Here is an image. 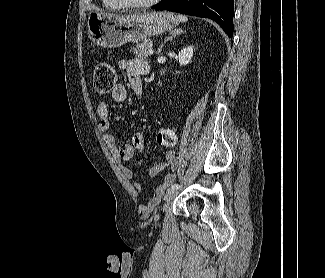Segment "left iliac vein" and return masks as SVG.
<instances>
[{"label": "left iliac vein", "instance_id": "obj_1", "mask_svg": "<svg viewBox=\"0 0 325 278\" xmlns=\"http://www.w3.org/2000/svg\"><path fill=\"white\" fill-rule=\"evenodd\" d=\"M177 194H178V189H169L164 196V200L167 202L171 201L177 196Z\"/></svg>", "mask_w": 325, "mask_h": 278}]
</instances>
